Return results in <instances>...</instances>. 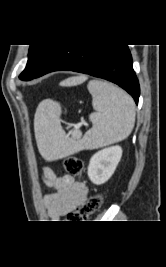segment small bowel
Returning <instances> with one entry per match:
<instances>
[{
    "label": "small bowel",
    "mask_w": 166,
    "mask_h": 267,
    "mask_svg": "<svg viewBox=\"0 0 166 267\" xmlns=\"http://www.w3.org/2000/svg\"><path fill=\"white\" fill-rule=\"evenodd\" d=\"M42 178L46 186L53 190V193L44 198L46 210L51 218H60L85 202L88 189L72 176H58L52 168L44 167Z\"/></svg>",
    "instance_id": "obj_1"
}]
</instances>
